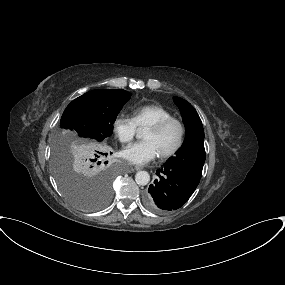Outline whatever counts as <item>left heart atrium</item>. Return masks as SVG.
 <instances>
[{"label": "left heart atrium", "instance_id": "39dd6f15", "mask_svg": "<svg viewBox=\"0 0 285 285\" xmlns=\"http://www.w3.org/2000/svg\"><path fill=\"white\" fill-rule=\"evenodd\" d=\"M121 156L131 164L142 166L153 161L159 153L151 141L136 142L120 152Z\"/></svg>", "mask_w": 285, "mask_h": 285}]
</instances>
